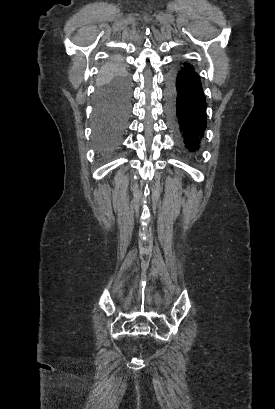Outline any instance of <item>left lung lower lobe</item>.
<instances>
[{"label":"left lung lower lobe","mask_w":275,"mask_h":409,"mask_svg":"<svg viewBox=\"0 0 275 409\" xmlns=\"http://www.w3.org/2000/svg\"><path fill=\"white\" fill-rule=\"evenodd\" d=\"M167 116L170 130L194 152L206 129V99L200 76L185 64L167 75Z\"/></svg>","instance_id":"obj_1"}]
</instances>
